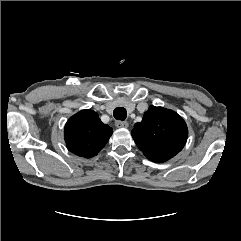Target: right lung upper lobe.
<instances>
[{"instance_id":"cb5924a9","label":"right lung upper lobe","mask_w":241,"mask_h":241,"mask_svg":"<svg viewBox=\"0 0 241 241\" xmlns=\"http://www.w3.org/2000/svg\"><path fill=\"white\" fill-rule=\"evenodd\" d=\"M112 133L113 129L103 124L98 114L90 109L73 115L64 128L68 150L85 158L97 155Z\"/></svg>"}]
</instances>
